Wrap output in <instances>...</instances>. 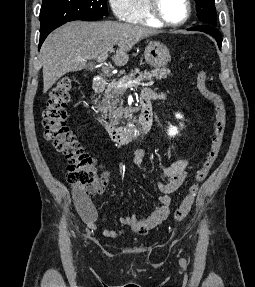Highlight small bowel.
<instances>
[{
  "mask_svg": "<svg viewBox=\"0 0 255 287\" xmlns=\"http://www.w3.org/2000/svg\"><path fill=\"white\" fill-rule=\"evenodd\" d=\"M163 99L164 95H159ZM146 156L144 149L139 148L133 154V163L137 168H141ZM188 160L178 159L169 166L165 167L159 174L157 186L161 192L157 204L152 214L144 219L138 218L136 215H127L119 218L121 225L130 227L135 233L143 234L148 230L160 225L170 214V207L173 203L172 195L184 183L187 176ZM111 178L109 170H103L97 177L95 183L87 190L83 191L78 185H71L72 196L76 209L87 227L91 230H97V211L91 201L94 195L103 193ZM124 233V230L105 229L102 234L105 237L116 238Z\"/></svg>",
  "mask_w": 255,
  "mask_h": 287,
  "instance_id": "small-bowel-1",
  "label": "small bowel"
}]
</instances>
